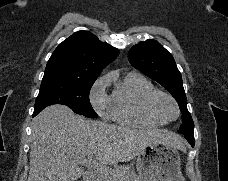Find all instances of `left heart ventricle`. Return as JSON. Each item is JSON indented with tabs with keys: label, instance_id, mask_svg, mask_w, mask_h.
<instances>
[{
	"label": "left heart ventricle",
	"instance_id": "left-heart-ventricle-1",
	"mask_svg": "<svg viewBox=\"0 0 228 181\" xmlns=\"http://www.w3.org/2000/svg\"><path fill=\"white\" fill-rule=\"evenodd\" d=\"M154 106L158 108L156 109L158 113H161V111L169 115L174 113L170 101L164 97H158L154 102Z\"/></svg>",
	"mask_w": 228,
	"mask_h": 181
}]
</instances>
